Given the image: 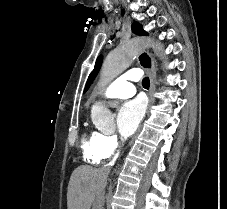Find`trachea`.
I'll return each mask as SVG.
<instances>
[{
  "mask_svg": "<svg viewBox=\"0 0 227 209\" xmlns=\"http://www.w3.org/2000/svg\"><path fill=\"white\" fill-rule=\"evenodd\" d=\"M142 85L145 89H148L149 88V85H150V81H149V78L148 77H145L143 80H142Z\"/></svg>",
  "mask_w": 227,
  "mask_h": 209,
  "instance_id": "3493384b",
  "label": "trachea"
}]
</instances>
